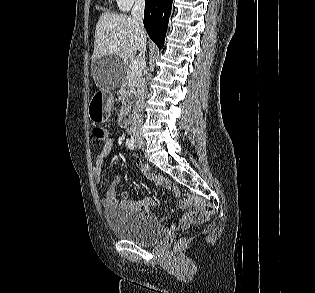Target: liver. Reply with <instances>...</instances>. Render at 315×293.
<instances>
[{
  "mask_svg": "<svg viewBox=\"0 0 315 293\" xmlns=\"http://www.w3.org/2000/svg\"><path fill=\"white\" fill-rule=\"evenodd\" d=\"M137 51L132 19L123 14L102 13L96 25L93 58L114 55L126 61Z\"/></svg>",
  "mask_w": 315,
  "mask_h": 293,
  "instance_id": "obj_1",
  "label": "liver"
}]
</instances>
